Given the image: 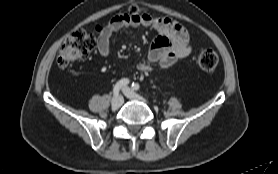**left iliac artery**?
Returning <instances> with one entry per match:
<instances>
[{
	"instance_id": "1",
	"label": "left iliac artery",
	"mask_w": 278,
	"mask_h": 174,
	"mask_svg": "<svg viewBox=\"0 0 278 174\" xmlns=\"http://www.w3.org/2000/svg\"><path fill=\"white\" fill-rule=\"evenodd\" d=\"M139 88H140V86H139V84L138 83H132V89L133 90H139Z\"/></svg>"
}]
</instances>
